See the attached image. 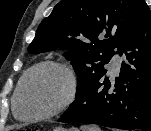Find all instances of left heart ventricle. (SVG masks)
Listing matches in <instances>:
<instances>
[{"instance_id": "left-heart-ventricle-1", "label": "left heart ventricle", "mask_w": 151, "mask_h": 131, "mask_svg": "<svg viewBox=\"0 0 151 131\" xmlns=\"http://www.w3.org/2000/svg\"><path fill=\"white\" fill-rule=\"evenodd\" d=\"M66 79L56 69H43L27 80L19 100L23 116L46 113L56 107L66 92Z\"/></svg>"}]
</instances>
